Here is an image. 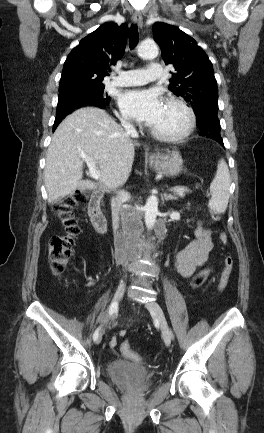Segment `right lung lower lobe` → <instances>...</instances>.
I'll list each match as a JSON object with an SVG mask.
<instances>
[{
  "instance_id": "right-lung-lower-lobe-1",
  "label": "right lung lower lobe",
  "mask_w": 264,
  "mask_h": 433,
  "mask_svg": "<svg viewBox=\"0 0 264 433\" xmlns=\"http://www.w3.org/2000/svg\"><path fill=\"white\" fill-rule=\"evenodd\" d=\"M76 105H78V107H75ZM76 105L73 107V109H72L68 114H70L72 111H74L75 109H78V108H80V107H85V106H94V107H99V108L104 109V108H106V106H107L106 104L101 103V102L96 101V100H89V101H85V102L77 103ZM68 114H66V115H68ZM66 115H64V116H60V117H56V118H55V122H54V126H53V131H55V129L57 128V126L59 125V123L62 121V119H63Z\"/></svg>"
}]
</instances>
